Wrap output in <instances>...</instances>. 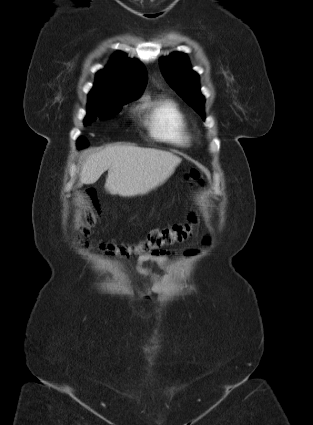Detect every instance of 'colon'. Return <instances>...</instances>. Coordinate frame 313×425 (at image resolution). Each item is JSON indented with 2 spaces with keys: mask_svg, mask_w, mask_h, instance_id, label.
I'll list each match as a JSON object with an SVG mask.
<instances>
[{
  "mask_svg": "<svg viewBox=\"0 0 313 425\" xmlns=\"http://www.w3.org/2000/svg\"><path fill=\"white\" fill-rule=\"evenodd\" d=\"M186 177L192 182H200V175L196 169H191ZM90 207L86 210L79 222V244L89 248L86 241L92 226L101 213V207L97 201L96 193L93 189L87 191ZM195 216L191 215L189 221L183 224H176L162 229H154L148 233L146 238L136 244H115L103 243L99 249L109 256L131 257L144 254H159L164 248L181 243L188 239L193 230Z\"/></svg>",
  "mask_w": 313,
  "mask_h": 425,
  "instance_id": "colon-1",
  "label": "colon"
}]
</instances>
